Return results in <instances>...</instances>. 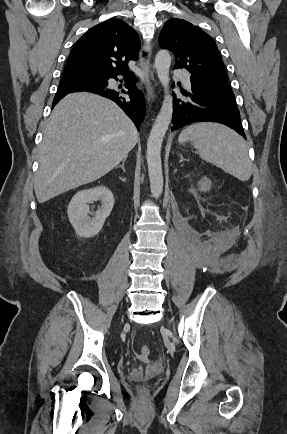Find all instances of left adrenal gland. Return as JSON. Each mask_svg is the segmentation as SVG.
Instances as JSON below:
<instances>
[{
    "label": "left adrenal gland",
    "mask_w": 287,
    "mask_h": 434,
    "mask_svg": "<svg viewBox=\"0 0 287 434\" xmlns=\"http://www.w3.org/2000/svg\"><path fill=\"white\" fill-rule=\"evenodd\" d=\"M179 156H180V162L186 160V159H184V157L182 156V154H179Z\"/></svg>",
    "instance_id": "obj_1"
}]
</instances>
